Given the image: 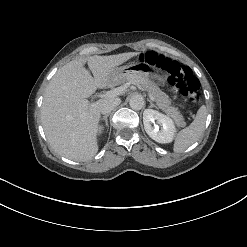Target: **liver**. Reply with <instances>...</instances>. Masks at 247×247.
Here are the masks:
<instances>
[{"mask_svg":"<svg viewBox=\"0 0 247 247\" xmlns=\"http://www.w3.org/2000/svg\"><path fill=\"white\" fill-rule=\"evenodd\" d=\"M138 54L75 59L56 72L46 88L41 107L42 126L55 152L74 161H87L96 155L102 100L90 103L87 98L111 84V72ZM86 62L94 77L86 70Z\"/></svg>","mask_w":247,"mask_h":247,"instance_id":"liver-1","label":"liver"}]
</instances>
